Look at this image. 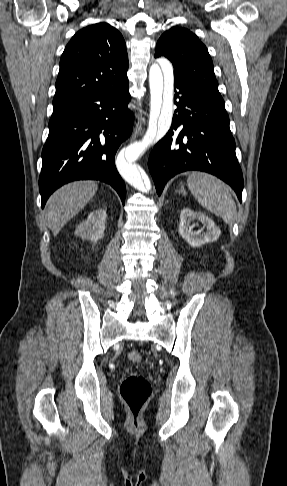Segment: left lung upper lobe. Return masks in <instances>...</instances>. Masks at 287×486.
<instances>
[{
  "label": "left lung upper lobe",
  "instance_id": "left-lung-upper-lobe-1",
  "mask_svg": "<svg viewBox=\"0 0 287 486\" xmlns=\"http://www.w3.org/2000/svg\"><path fill=\"white\" fill-rule=\"evenodd\" d=\"M165 56L174 67V76L183 78L214 101L225 105L218 91L212 59L206 46L190 30L172 27L158 40L155 57Z\"/></svg>",
  "mask_w": 287,
  "mask_h": 486
}]
</instances>
